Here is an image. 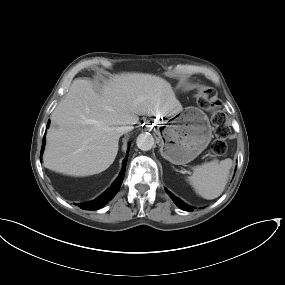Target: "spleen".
<instances>
[{"label":"spleen","mask_w":285,"mask_h":285,"mask_svg":"<svg viewBox=\"0 0 285 285\" xmlns=\"http://www.w3.org/2000/svg\"><path fill=\"white\" fill-rule=\"evenodd\" d=\"M232 160H214L193 168L188 181L196 193L204 199H215L220 196L227 184Z\"/></svg>","instance_id":"1"}]
</instances>
